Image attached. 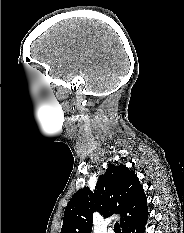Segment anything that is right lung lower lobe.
Instances as JSON below:
<instances>
[{"label": "right lung lower lobe", "instance_id": "obj_1", "mask_svg": "<svg viewBox=\"0 0 184 233\" xmlns=\"http://www.w3.org/2000/svg\"><path fill=\"white\" fill-rule=\"evenodd\" d=\"M148 218V208L146 207L139 215L130 222L122 226L123 233H144Z\"/></svg>", "mask_w": 184, "mask_h": 233}]
</instances>
